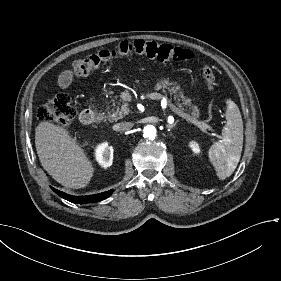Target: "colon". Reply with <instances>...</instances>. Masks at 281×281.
I'll return each instance as SVG.
<instances>
[{
  "label": "colon",
  "instance_id": "colon-1",
  "mask_svg": "<svg viewBox=\"0 0 281 281\" xmlns=\"http://www.w3.org/2000/svg\"><path fill=\"white\" fill-rule=\"evenodd\" d=\"M143 56L160 62H181L192 58L190 52L170 44L153 41L122 42L116 48L103 50L75 60L70 71L74 76H88L98 71L104 64L122 57ZM203 77L208 85L215 89L217 80L212 69L201 67ZM38 119L43 123H56L68 126L75 117V109L67 93H58L47 100L38 110Z\"/></svg>",
  "mask_w": 281,
  "mask_h": 281
}]
</instances>
